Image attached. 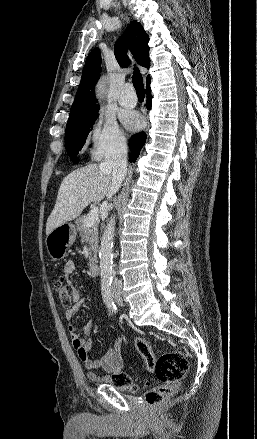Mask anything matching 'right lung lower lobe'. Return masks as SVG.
Wrapping results in <instances>:
<instances>
[{"mask_svg": "<svg viewBox=\"0 0 257 439\" xmlns=\"http://www.w3.org/2000/svg\"><path fill=\"white\" fill-rule=\"evenodd\" d=\"M146 93H147V109L150 110L151 109V104H152V95H151V89H150V78L146 80ZM146 134L144 132H140L137 133L135 135H133L131 137V139L129 140V147L131 150V153L129 155V161L130 162H135L137 157L140 154V150L142 149L143 145L146 142Z\"/></svg>", "mask_w": 257, "mask_h": 439, "instance_id": "obj_1", "label": "right lung lower lobe"}]
</instances>
